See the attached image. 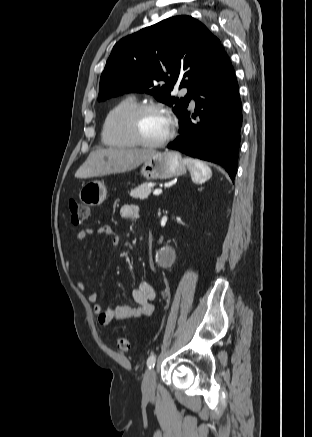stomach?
<instances>
[{"label": "stomach", "instance_id": "stomach-1", "mask_svg": "<svg viewBox=\"0 0 312 437\" xmlns=\"http://www.w3.org/2000/svg\"><path fill=\"white\" fill-rule=\"evenodd\" d=\"M186 164L176 151L155 152L143 162L141 175L146 179H169L183 175ZM107 196L106 186L100 181H90L82 186L79 199L88 206L101 205Z\"/></svg>", "mask_w": 312, "mask_h": 437}]
</instances>
